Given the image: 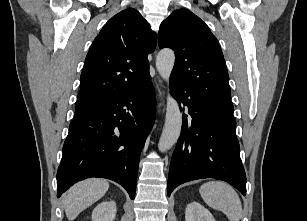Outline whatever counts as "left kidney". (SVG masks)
Instances as JSON below:
<instances>
[{"label":"left kidney","instance_id":"1","mask_svg":"<svg viewBox=\"0 0 307 221\" xmlns=\"http://www.w3.org/2000/svg\"><path fill=\"white\" fill-rule=\"evenodd\" d=\"M186 221H215L214 217L204 206L198 202H191L186 207Z\"/></svg>","mask_w":307,"mask_h":221}]
</instances>
